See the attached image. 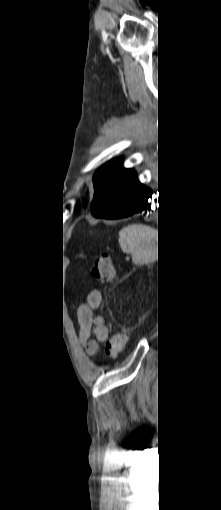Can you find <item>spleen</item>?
<instances>
[{
  "label": "spleen",
  "mask_w": 221,
  "mask_h": 510,
  "mask_svg": "<svg viewBox=\"0 0 221 510\" xmlns=\"http://www.w3.org/2000/svg\"><path fill=\"white\" fill-rule=\"evenodd\" d=\"M119 244L123 252L132 255L134 263H148L157 255L158 232L143 224L128 225L119 231Z\"/></svg>",
  "instance_id": "obj_1"
}]
</instances>
